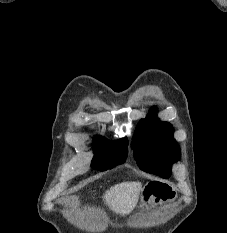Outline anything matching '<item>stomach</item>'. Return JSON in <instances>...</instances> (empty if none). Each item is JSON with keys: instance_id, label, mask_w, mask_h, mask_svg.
Wrapping results in <instances>:
<instances>
[{"instance_id": "stomach-1", "label": "stomach", "mask_w": 227, "mask_h": 233, "mask_svg": "<svg viewBox=\"0 0 227 233\" xmlns=\"http://www.w3.org/2000/svg\"><path fill=\"white\" fill-rule=\"evenodd\" d=\"M167 186V185H166ZM165 185L162 182L151 181L141 191V206L157 204L166 199Z\"/></svg>"}]
</instances>
